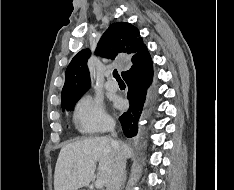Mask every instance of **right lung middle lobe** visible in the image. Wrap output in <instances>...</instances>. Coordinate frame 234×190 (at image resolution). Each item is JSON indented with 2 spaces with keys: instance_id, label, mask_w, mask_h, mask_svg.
Instances as JSON below:
<instances>
[{
  "instance_id": "dd1d6c3e",
  "label": "right lung middle lobe",
  "mask_w": 234,
  "mask_h": 190,
  "mask_svg": "<svg viewBox=\"0 0 234 190\" xmlns=\"http://www.w3.org/2000/svg\"><path fill=\"white\" fill-rule=\"evenodd\" d=\"M79 100V98L69 101L67 103L62 104V108L66 109L67 111H70L73 109V107L75 106L76 102Z\"/></svg>"
}]
</instances>
